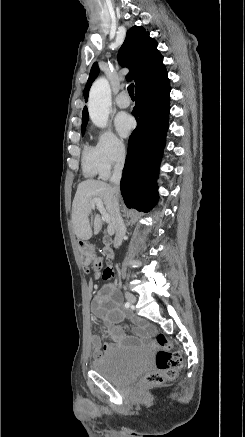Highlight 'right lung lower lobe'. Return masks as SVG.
<instances>
[{
	"label": "right lung lower lobe",
	"instance_id": "right-lung-lower-lobe-1",
	"mask_svg": "<svg viewBox=\"0 0 245 437\" xmlns=\"http://www.w3.org/2000/svg\"><path fill=\"white\" fill-rule=\"evenodd\" d=\"M169 79L135 93L133 116L137 127L128 141L121 193L128 208L149 212L158 200L159 162L170 111Z\"/></svg>",
	"mask_w": 245,
	"mask_h": 437
}]
</instances>
